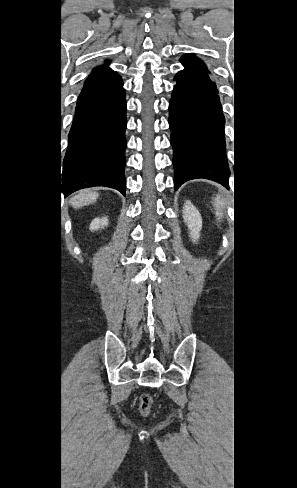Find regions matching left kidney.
I'll return each mask as SVG.
<instances>
[{
	"label": "left kidney",
	"mask_w": 297,
	"mask_h": 488,
	"mask_svg": "<svg viewBox=\"0 0 297 488\" xmlns=\"http://www.w3.org/2000/svg\"><path fill=\"white\" fill-rule=\"evenodd\" d=\"M183 219L188 226L190 238L196 242L202 228V218L198 209L190 201H186L184 204Z\"/></svg>",
	"instance_id": "5707ae66"
}]
</instances>
